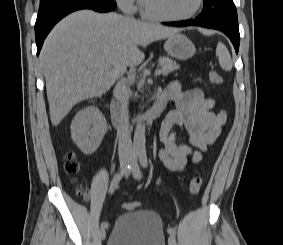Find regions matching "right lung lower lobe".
Instances as JSON below:
<instances>
[{"instance_id":"obj_1","label":"right lung lower lobe","mask_w":283,"mask_h":245,"mask_svg":"<svg viewBox=\"0 0 283 245\" xmlns=\"http://www.w3.org/2000/svg\"><path fill=\"white\" fill-rule=\"evenodd\" d=\"M115 8L116 2L114 0H55L40 5L35 23L37 55L39 54L44 39L50 30L67 14L80 9L109 12Z\"/></svg>"}]
</instances>
